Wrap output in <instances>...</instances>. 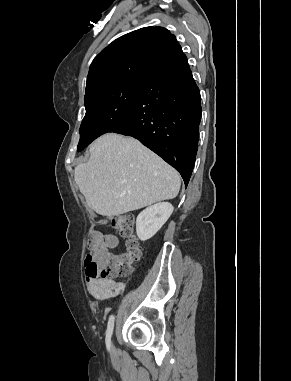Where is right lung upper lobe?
Instances as JSON below:
<instances>
[{
  "instance_id": "right-lung-upper-lobe-1",
  "label": "right lung upper lobe",
  "mask_w": 291,
  "mask_h": 381,
  "mask_svg": "<svg viewBox=\"0 0 291 381\" xmlns=\"http://www.w3.org/2000/svg\"><path fill=\"white\" fill-rule=\"evenodd\" d=\"M182 54L175 36L163 27H145L125 34L94 58L85 98L127 81H144Z\"/></svg>"
}]
</instances>
